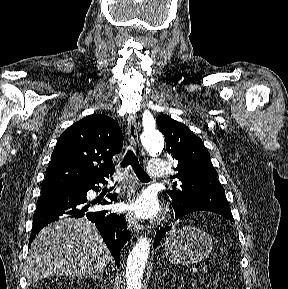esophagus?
Listing matches in <instances>:
<instances>
[{"instance_id":"obj_1","label":"esophagus","mask_w":288,"mask_h":289,"mask_svg":"<svg viewBox=\"0 0 288 289\" xmlns=\"http://www.w3.org/2000/svg\"><path fill=\"white\" fill-rule=\"evenodd\" d=\"M127 134H128V142H129L130 147L134 151H136L139 146V139H138L137 123H136L135 116L133 115L129 116L128 118ZM125 179L128 180L132 184L134 175L132 174L130 169L126 171ZM131 195H132V190H129L127 194V200L131 199ZM126 221L131 232L139 233V231L141 230V227L138 221L130 213L126 214Z\"/></svg>"}]
</instances>
